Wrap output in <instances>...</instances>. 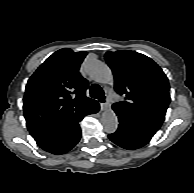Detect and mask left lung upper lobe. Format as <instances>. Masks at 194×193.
Returning a JSON list of instances; mask_svg holds the SVG:
<instances>
[{"instance_id": "1", "label": "left lung upper lobe", "mask_w": 194, "mask_h": 193, "mask_svg": "<svg viewBox=\"0 0 194 193\" xmlns=\"http://www.w3.org/2000/svg\"><path fill=\"white\" fill-rule=\"evenodd\" d=\"M105 59L114 74L115 90L124 96L113 107L162 125L170 102L162 69L149 57L129 50L107 52Z\"/></svg>"}]
</instances>
